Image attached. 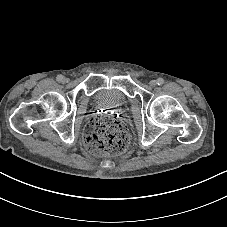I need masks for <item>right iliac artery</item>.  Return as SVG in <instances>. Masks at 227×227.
Wrapping results in <instances>:
<instances>
[{"mask_svg": "<svg viewBox=\"0 0 227 227\" xmlns=\"http://www.w3.org/2000/svg\"><path fill=\"white\" fill-rule=\"evenodd\" d=\"M63 78H64V77L60 74V75L57 76L56 79H57V81L61 82V81L63 80Z\"/></svg>", "mask_w": 227, "mask_h": 227, "instance_id": "1", "label": "right iliac artery"}]
</instances>
